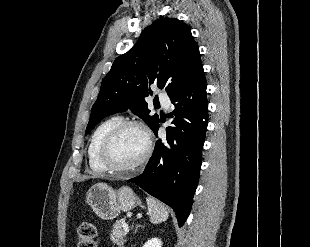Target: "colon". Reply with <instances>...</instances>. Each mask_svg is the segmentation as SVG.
<instances>
[{
    "label": "colon",
    "instance_id": "obj_1",
    "mask_svg": "<svg viewBox=\"0 0 310 247\" xmlns=\"http://www.w3.org/2000/svg\"><path fill=\"white\" fill-rule=\"evenodd\" d=\"M97 229L91 222H83L78 227V247H96Z\"/></svg>",
    "mask_w": 310,
    "mask_h": 247
}]
</instances>
